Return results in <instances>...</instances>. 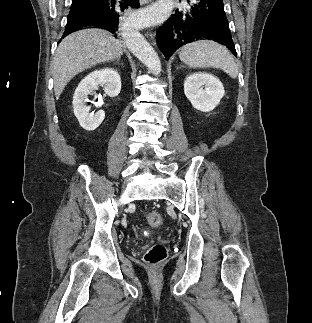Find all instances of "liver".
I'll return each mask as SVG.
<instances>
[{
    "label": "liver",
    "instance_id": "1",
    "mask_svg": "<svg viewBox=\"0 0 312 323\" xmlns=\"http://www.w3.org/2000/svg\"><path fill=\"white\" fill-rule=\"evenodd\" d=\"M122 54L121 40L106 30L88 28L66 36L56 50L52 66L56 100L74 76L101 62L118 60Z\"/></svg>",
    "mask_w": 312,
    "mask_h": 323
}]
</instances>
